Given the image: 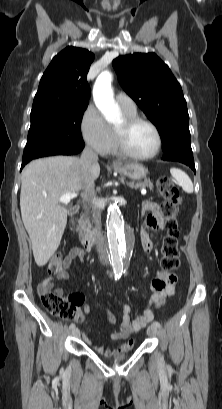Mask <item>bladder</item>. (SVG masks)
<instances>
[{"label": "bladder", "mask_w": 222, "mask_h": 409, "mask_svg": "<svg viewBox=\"0 0 222 409\" xmlns=\"http://www.w3.org/2000/svg\"><path fill=\"white\" fill-rule=\"evenodd\" d=\"M122 359H123V356H118V357L113 358V359L111 360V362H113V363H115V362H120Z\"/></svg>", "instance_id": "obj_1"}]
</instances>
